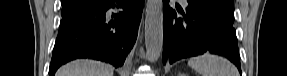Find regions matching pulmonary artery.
<instances>
[{
  "label": "pulmonary artery",
  "instance_id": "e3ab8cb5",
  "mask_svg": "<svg viewBox=\"0 0 287 76\" xmlns=\"http://www.w3.org/2000/svg\"><path fill=\"white\" fill-rule=\"evenodd\" d=\"M181 2H184V3H186L187 1L186 0H180Z\"/></svg>",
  "mask_w": 287,
  "mask_h": 76
}]
</instances>
